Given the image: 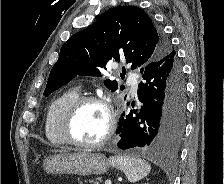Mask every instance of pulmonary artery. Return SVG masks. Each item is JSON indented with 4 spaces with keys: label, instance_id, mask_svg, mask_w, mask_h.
Returning a JSON list of instances; mask_svg holds the SVG:
<instances>
[{
    "label": "pulmonary artery",
    "instance_id": "1",
    "mask_svg": "<svg viewBox=\"0 0 224 184\" xmlns=\"http://www.w3.org/2000/svg\"><path fill=\"white\" fill-rule=\"evenodd\" d=\"M129 85L132 89V92L135 94L138 89V83L136 81H134L133 78L130 76H129Z\"/></svg>",
    "mask_w": 224,
    "mask_h": 184
}]
</instances>
